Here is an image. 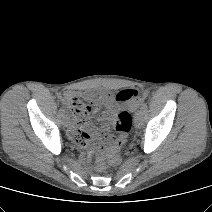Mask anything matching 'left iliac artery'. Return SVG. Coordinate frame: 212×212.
I'll return each instance as SVG.
<instances>
[{
    "label": "left iliac artery",
    "mask_w": 212,
    "mask_h": 212,
    "mask_svg": "<svg viewBox=\"0 0 212 212\" xmlns=\"http://www.w3.org/2000/svg\"><path fill=\"white\" fill-rule=\"evenodd\" d=\"M147 110V103L144 102L141 104V111L144 113Z\"/></svg>",
    "instance_id": "left-iliac-artery-1"
}]
</instances>
